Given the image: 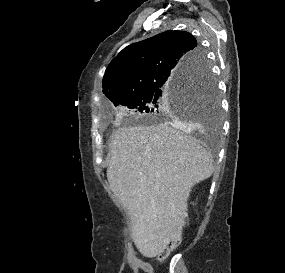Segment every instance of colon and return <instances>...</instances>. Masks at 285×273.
I'll return each instance as SVG.
<instances>
[{"label": "colon", "mask_w": 285, "mask_h": 273, "mask_svg": "<svg viewBox=\"0 0 285 273\" xmlns=\"http://www.w3.org/2000/svg\"><path fill=\"white\" fill-rule=\"evenodd\" d=\"M178 241L173 240L171 241L167 247L159 254L158 259L163 260L164 258L167 257V255L172 251L176 246H177Z\"/></svg>", "instance_id": "1"}]
</instances>
